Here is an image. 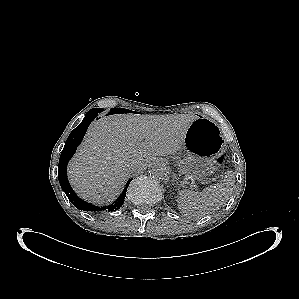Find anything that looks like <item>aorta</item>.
I'll list each match as a JSON object with an SVG mask.
<instances>
[{"label": "aorta", "mask_w": 299, "mask_h": 299, "mask_svg": "<svg viewBox=\"0 0 299 299\" xmlns=\"http://www.w3.org/2000/svg\"><path fill=\"white\" fill-rule=\"evenodd\" d=\"M149 174L155 179L163 180L167 176V168L164 163L154 162L149 167Z\"/></svg>", "instance_id": "obj_1"}]
</instances>
